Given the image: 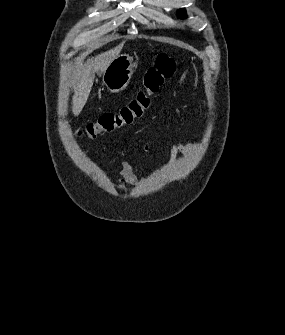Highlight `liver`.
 <instances>
[{"mask_svg":"<svg viewBox=\"0 0 285 335\" xmlns=\"http://www.w3.org/2000/svg\"><path fill=\"white\" fill-rule=\"evenodd\" d=\"M122 50V44L99 54L96 58H90L81 66V70H77L73 82V96H72V112L74 116L81 114L92 90L96 72H105L115 56H119Z\"/></svg>","mask_w":285,"mask_h":335,"instance_id":"obj_1","label":"liver"}]
</instances>
